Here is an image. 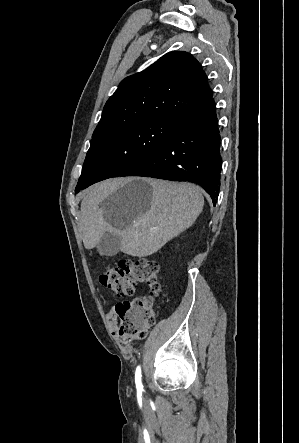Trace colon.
I'll use <instances>...</instances> for the list:
<instances>
[{
    "instance_id": "1",
    "label": "colon",
    "mask_w": 299,
    "mask_h": 443,
    "mask_svg": "<svg viewBox=\"0 0 299 443\" xmlns=\"http://www.w3.org/2000/svg\"><path fill=\"white\" fill-rule=\"evenodd\" d=\"M100 282L118 295H133L137 283L149 285L151 294L160 291L159 265L149 259L122 260L116 267H107ZM119 319V338L123 344L142 339L156 322V313L150 296L116 304Z\"/></svg>"
}]
</instances>
